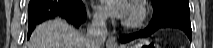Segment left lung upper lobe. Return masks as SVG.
<instances>
[{
    "instance_id": "1",
    "label": "left lung upper lobe",
    "mask_w": 213,
    "mask_h": 48,
    "mask_svg": "<svg viewBox=\"0 0 213 48\" xmlns=\"http://www.w3.org/2000/svg\"><path fill=\"white\" fill-rule=\"evenodd\" d=\"M153 3L154 13L159 12L164 8H179L190 12L189 0H151Z\"/></svg>"
}]
</instances>
